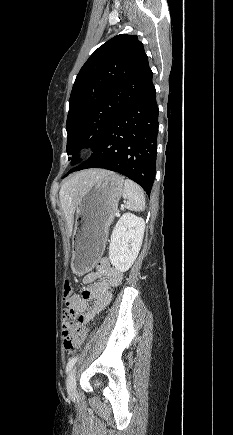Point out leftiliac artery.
Segmentation results:
<instances>
[{
	"mask_svg": "<svg viewBox=\"0 0 233 435\" xmlns=\"http://www.w3.org/2000/svg\"><path fill=\"white\" fill-rule=\"evenodd\" d=\"M78 360V357H74V358H70L67 366H66V373H68L72 367L74 366V364L76 363V361Z\"/></svg>",
	"mask_w": 233,
	"mask_h": 435,
	"instance_id": "1",
	"label": "left iliac artery"
}]
</instances>
